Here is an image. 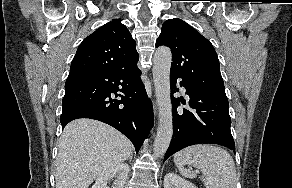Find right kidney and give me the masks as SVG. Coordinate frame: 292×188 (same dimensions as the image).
Instances as JSON below:
<instances>
[{
    "label": "right kidney",
    "mask_w": 292,
    "mask_h": 188,
    "mask_svg": "<svg viewBox=\"0 0 292 188\" xmlns=\"http://www.w3.org/2000/svg\"><path fill=\"white\" fill-rule=\"evenodd\" d=\"M129 173V165L126 163L118 164L106 172L99 175L91 188H108L107 182L117 177L113 188H124L126 178Z\"/></svg>",
    "instance_id": "right-kidney-1"
}]
</instances>
